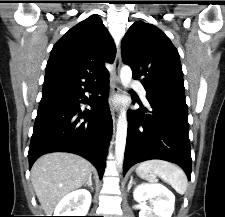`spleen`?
Returning <instances> with one entry per match:
<instances>
[{
  "mask_svg": "<svg viewBox=\"0 0 225 217\" xmlns=\"http://www.w3.org/2000/svg\"><path fill=\"white\" fill-rule=\"evenodd\" d=\"M136 173L149 181H156V176H159L181 195L187 190L186 174L179 166L171 162L159 159L147 160L138 165Z\"/></svg>",
  "mask_w": 225,
  "mask_h": 217,
  "instance_id": "obj_1",
  "label": "spleen"
}]
</instances>
